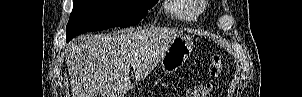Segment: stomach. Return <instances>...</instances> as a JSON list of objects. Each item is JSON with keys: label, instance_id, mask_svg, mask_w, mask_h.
<instances>
[{"label": "stomach", "instance_id": "0dacf381", "mask_svg": "<svg viewBox=\"0 0 302 97\" xmlns=\"http://www.w3.org/2000/svg\"><path fill=\"white\" fill-rule=\"evenodd\" d=\"M193 49V42L188 35L180 34L169 44L160 59L161 68L165 73L177 71L188 59Z\"/></svg>", "mask_w": 302, "mask_h": 97}]
</instances>
